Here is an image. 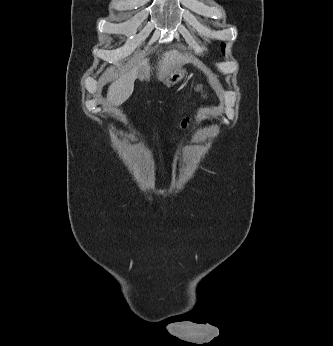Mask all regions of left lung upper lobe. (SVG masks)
<instances>
[{"instance_id": "1", "label": "left lung upper lobe", "mask_w": 333, "mask_h": 346, "mask_svg": "<svg viewBox=\"0 0 333 346\" xmlns=\"http://www.w3.org/2000/svg\"><path fill=\"white\" fill-rule=\"evenodd\" d=\"M224 47H225V45L224 44H222V51L224 52Z\"/></svg>"}]
</instances>
